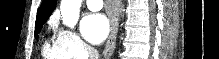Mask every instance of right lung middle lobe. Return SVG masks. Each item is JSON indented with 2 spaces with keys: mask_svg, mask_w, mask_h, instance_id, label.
<instances>
[{
  "mask_svg": "<svg viewBox=\"0 0 219 59\" xmlns=\"http://www.w3.org/2000/svg\"><path fill=\"white\" fill-rule=\"evenodd\" d=\"M42 26H36L35 27V38L38 39V33L40 32Z\"/></svg>",
  "mask_w": 219,
  "mask_h": 59,
  "instance_id": "obj_1",
  "label": "right lung middle lobe"
}]
</instances>
